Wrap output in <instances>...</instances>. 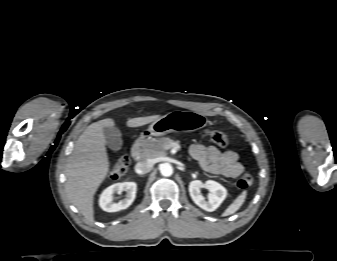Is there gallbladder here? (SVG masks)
Instances as JSON below:
<instances>
[{"mask_svg": "<svg viewBox=\"0 0 337 261\" xmlns=\"http://www.w3.org/2000/svg\"><path fill=\"white\" fill-rule=\"evenodd\" d=\"M107 146L113 151H118L122 148L123 141L121 132L115 127H105L103 129Z\"/></svg>", "mask_w": 337, "mask_h": 261, "instance_id": "bac80fb5", "label": "gallbladder"}]
</instances>
